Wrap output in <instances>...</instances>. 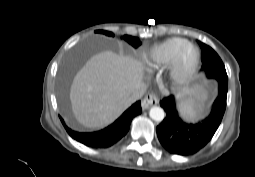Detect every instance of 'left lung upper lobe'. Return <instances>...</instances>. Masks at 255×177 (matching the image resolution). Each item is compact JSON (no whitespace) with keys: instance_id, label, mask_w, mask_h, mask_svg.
Segmentation results:
<instances>
[{"instance_id":"1","label":"left lung upper lobe","mask_w":255,"mask_h":177,"mask_svg":"<svg viewBox=\"0 0 255 177\" xmlns=\"http://www.w3.org/2000/svg\"><path fill=\"white\" fill-rule=\"evenodd\" d=\"M202 49V69L207 77L217 80H228L225 66L217 53L209 46L199 42Z\"/></svg>"}]
</instances>
